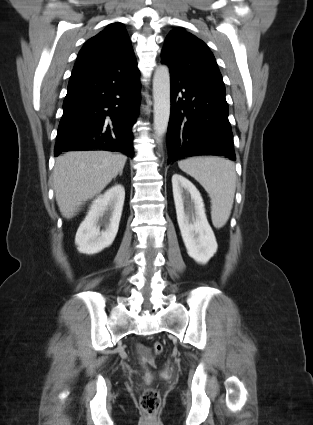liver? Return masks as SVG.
<instances>
[{"label": "liver", "mask_w": 313, "mask_h": 425, "mask_svg": "<svg viewBox=\"0 0 313 425\" xmlns=\"http://www.w3.org/2000/svg\"><path fill=\"white\" fill-rule=\"evenodd\" d=\"M127 157L108 151H73L56 158L53 184L63 217L75 216L78 208L99 194L119 171Z\"/></svg>", "instance_id": "liver-1"}]
</instances>
